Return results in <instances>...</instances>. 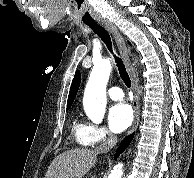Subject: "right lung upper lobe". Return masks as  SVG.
Instances as JSON below:
<instances>
[{
	"label": "right lung upper lobe",
	"instance_id": "cb5924a9",
	"mask_svg": "<svg viewBox=\"0 0 194 178\" xmlns=\"http://www.w3.org/2000/svg\"><path fill=\"white\" fill-rule=\"evenodd\" d=\"M80 82H81V74L80 72L77 70L74 76V79L72 81L71 84V88H70V92H69V96H68V102H67V109H69L74 101V98L77 94L78 88L80 86Z\"/></svg>",
	"mask_w": 194,
	"mask_h": 178
}]
</instances>
